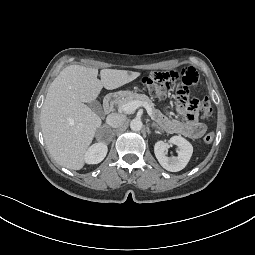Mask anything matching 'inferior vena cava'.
Wrapping results in <instances>:
<instances>
[{
	"instance_id": "602c4592",
	"label": "inferior vena cava",
	"mask_w": 255,
	"mask_h": 255,
	"mask_svg": "<svg viewBox=\"0 0 255 255\" xmlns=\"http://www.w3.org/2000/svg\"><path fill=\"white\" fill-rule=\"evenodd\" d=\"M124 121L125 116L117 113H112L108 115L106 118V123L113 128L121 126L124 123Z\"/></svg>"
}]
</instances>
